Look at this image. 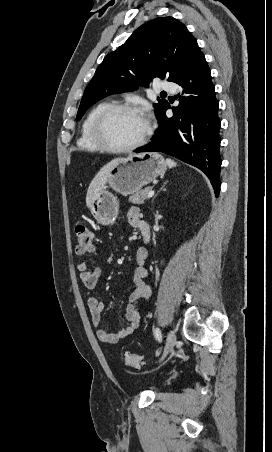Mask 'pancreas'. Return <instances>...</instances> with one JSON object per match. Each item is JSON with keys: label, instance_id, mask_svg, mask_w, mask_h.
Wrapping results in <instances>:
<instances>
[{"label": "pancreas", "instance_id": "pancreas-1", "mask_svg": "<svg viewBox=\"0 0 272 452\" xmlns=\"http://www.w3.org/2000/svg\"><path fill=\"white\" fill-rule=\"evenodd\" d=\"M151 190V187H147L144 190L138 191L129 197V201L133 204H143L148 199L147 195Z\"/></svg>", "mask_w": 272, "mask_h": 452}]
</instances>
